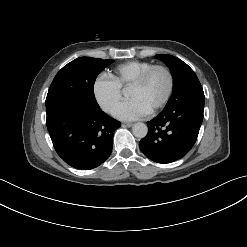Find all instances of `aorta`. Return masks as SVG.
<instances>
[{"label":"aorta","mask_w":247,"mask_h":247,"mask_svg":"<svg viewBox=\"0 0 247 247\" xmlns=\"http://www.w3.org/2000/svg\"><path fill=\"white\" fill-rule=\"evenodd\" d=\"M148 128L144 123H135L132 127V133L137 138H144L147 135Z\"/></svg>","instance_id":"762f6f07"}]
</instances>
